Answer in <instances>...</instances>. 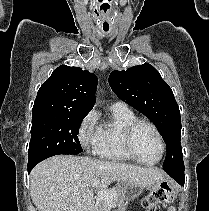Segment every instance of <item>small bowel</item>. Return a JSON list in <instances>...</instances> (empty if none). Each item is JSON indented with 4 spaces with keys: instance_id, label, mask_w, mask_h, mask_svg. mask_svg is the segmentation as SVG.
<instances>
[{
    "instance_id": "small-bowel-1",
    "label": "small bowel",
    "mask_w": 209,
    "mask_h": 211,
    "mask_svg": "<svg viewBox=\"0 0 209 211\" xmlns=\"http://www.w3.org/2000/svg\"><path fill=\"white\" fill-rule=\"evenodd\" d=\"M166 211H173L171 208H168Z\"/></svg>"
}]
</instances>
